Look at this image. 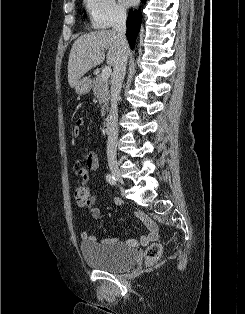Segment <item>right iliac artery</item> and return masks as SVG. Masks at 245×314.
I'll list each match as a JSON object with an SVG mask.
<instances>
[{"mask_svg":"<svg viewBox=\"0 0 245 314\" xmlns=\"http://www.w3.org/2000/svg\"><path fill=\"white\" fill-rule=\"evenodd\" d=\"M106 180L109 184L111 185H115L116 184V179L114 176H112L111 174H107L106 175Z\"/></svg>","mask_w":245,"mask_h":314,"instance_id":"1","label":"right iliac artery"}]
</instances>
